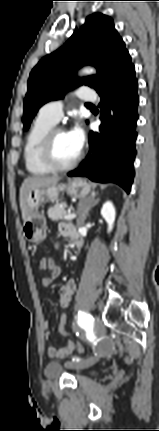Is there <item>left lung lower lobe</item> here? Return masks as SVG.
Here are the masks:
<instances>
[{
    "mask_svg": "<svg viewBox=\"0 0 159 431\" xmlns=\"http://www.w3.org/2000/svg\"><path fill=\"white\" fill-rule=\"evenodd\" d=\"M138 82L131 63L98 94L101 102L99 132H90V151L68 176H85L92 181L120 185L130 192L134 178Z\"/></svg>",
    "mask_w": 159,
    "mask_h": 431,
    "instance_id": "left-lung-lower-lobe-1",
    "label": "left lung lower lobe"
}]
</instances>
